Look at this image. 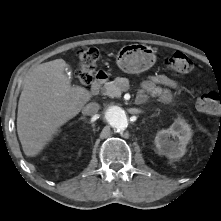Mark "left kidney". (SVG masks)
<instances>
[{"label": "left kidney", "instance_id": "5707ae66", "mask_svg": "<svg viewBox=\"0 0 221 221\" xmlns=\"http://www.w3.org/2000/svg\"><path fill=\"white\" fill-rule=\"evenodd\" d=\"M170 136L176 137L175 141ZM192 131L184 119L177 118L170 128L158 131L155 145L160 154L168 158H180L185 154L186 145L191 139Z\"/></svg>", "mask_w": 221, "mask_h": 221}]
</instances>
